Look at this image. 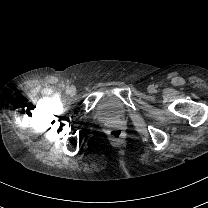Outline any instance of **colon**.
I'll use <instances>...</instances> for the list:
<instances>
[{
    "mask_svg": "<svg viewBox=\"0 0 208 208\" xmlns=\"http://www.w3.org/2000/svg\"><path fill=\"white\" fill-rule=\"evenodd\" d=\"M119 134H120L119 131H113V132H112V135L115 136V137L119 136Z\"/></svg>",
    "mask_w": 208,
    "mask_h": 208,
    "instance_id": "obj_1",
    "label": "colon"
}]
</instances>
